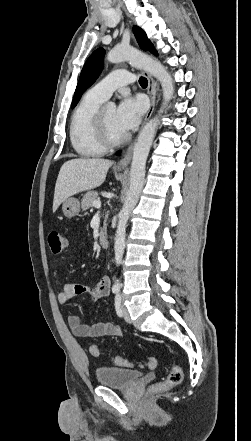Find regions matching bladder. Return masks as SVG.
<instances>
[{
  "label": "bladder",
  "mask_w": 251,
  "mask_h": 441,
  "mask_svg": "<svg viewBox=\"0 0 251 441\" xmlns=\"http://www.w3.org/2000/svg\"><path fill=\"white\" fill-rule=\"evenodd\" d=\"M142 372L118 367H99L96 378L100 385L111 388H129L140 377Z\"/></svg>",
  "instance_id": "31cf9c89"
}]
</instances>
